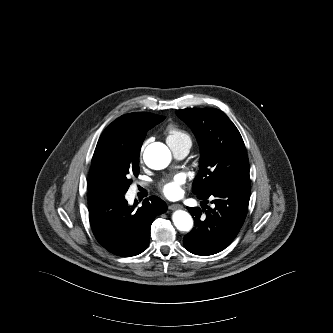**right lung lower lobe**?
<instances>
[{
  "label": "right lung lower lobe",
  "instance_id": "right-lung-lower-lobe-1",
  "mask_svg": "<svg viewBox=\"0 0 333 333\" xmlns=\"http://www.w3.org/2000/svg\"><path fill=\"white\" fill-rule=\"evenodd\" d=\"M129 206L124 194L89 196L88 209L97 241L115 255L130 257L142 253L149 244L153 219L167 210L156 196Z\"/></svg>",
  "mask_w": 333,
  "mask_h": 333
}]
</instances>
